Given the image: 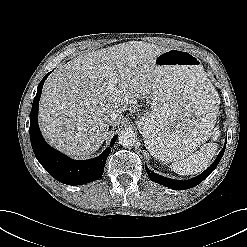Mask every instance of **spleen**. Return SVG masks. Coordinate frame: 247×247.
Wrapping results in <instances>:
<instances>
[{
    "mask_svg": "<svg viewBox=\"0 0 247 247\" xmlns=\"http://www.w3.org/2000/svg\"><path fill=\"white\" fill-rule=\"evenodd\" d=\"M218 96V95H217ZM220 135L219 127L212 125L210 137L216 141ZM218 146L216 143H207L201 147L200 151L193 153L187 159L171 164V169L179 175H192L206 169L212 158L215 156Z\"/></svg>",
    "mask_w": 247,
    "mask_h": 247,
    "instance_id": "spleen-1",
    "label": "spleen"
}]
</instances>
